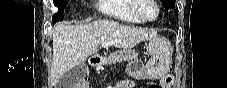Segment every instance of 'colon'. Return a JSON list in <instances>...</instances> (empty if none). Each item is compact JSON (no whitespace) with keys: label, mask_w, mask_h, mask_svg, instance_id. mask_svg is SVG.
Segmentation results:
<instances>
[{"label":"colon","mask_w":227,"mask_h":88,"mask_svg":"<svg viewBox=\"0 0 227 88\" xmlns=\"http://www.w3.org/2000/svg\"><path fill=\"white\" fill-rule=\"evenodd\" d=\"M150 88H161L160 85H153V86H150Z\"/></svg>","instance_id":"5ec220e1"}]
</instances>
